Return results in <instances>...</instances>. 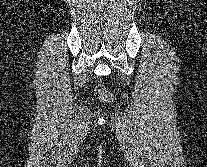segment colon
Masks as SVG:
<instances>
[{
	"mask_svg": "<svg viewBox=\"0 0 207 167\" xmlns=\"http://www.w3.org/2000/svg\"><path fill=\"white\" fill-rule=\"evenodd\" d=\"M98 97L105 103H110L113 101V95L107 89L100 87L97 90Z\"/></svg>",
	"mask_w": 207,
	"mask_h": 167,
	"instance_id": "colon-1",
	"label": "colon"
}]
</instances>
